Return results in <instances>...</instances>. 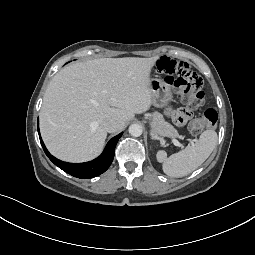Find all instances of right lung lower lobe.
<instances>
[{
	"instance_id": "1",
	"label": "right lung lower lobe",
	"mask_w": 255,
	"mask_h": 255,
	"mask_svg": "<svg viewBox=\"0 0 255 255\" xmlns=\"http://www.w3.org/2000/svg\"><path fill=\"white\" fill-rule=\"evenodd\" d=\"M38 133H39V127H38ZM121 135L122 133L113 137L108 142L103 153L98 158L86 163H67L55 158L46 149L41 139V136L39 137H40V142L44 149V152L56 166H58L60 169H62L63 171H65L66 173L74 177L87 179V178L96 177L102 174L103 172H105L109 168L114 158L115 146L119 138L121 137Z\"/></svg>"
}]
</instances>
